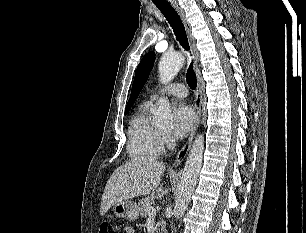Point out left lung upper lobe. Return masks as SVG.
<instances>
[{"mask_svg": "<svg viewBox=\"0 0 306 233\" xmlns=\"http://www.w3.org/2000/svg\"><path fill=\"white\" fill-rule=\"evenodd\" d=\"M154 61H155V53L149 52L142 58L141 62L139 63L135 73L131 95L126 106L125 113L129 111L133 103L136 101L142 87L144 86L146 80L148 79Z\"/></svg>", "mask_w": 306, "mask_h": 233, "instance_id": "obj_1", "label": "left lung upper lobe"}]
</instances>
